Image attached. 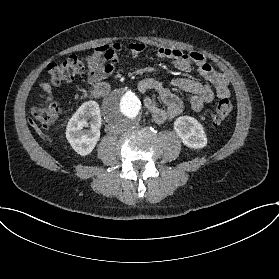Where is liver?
Here are the masks:
<instances>
[{
	"mask_svg": "<svg viewBox=\"0 0 279 279\" xmlns=\"http://www.w3.org/2000/svg\"><path fill=\"white\" fill-rule=\"evenodd\" d=\"M48 141H49V142H52V140H51L50 138H48Z\"/></svg>",
	"mask_w": 279,
	"mask_h": 279,
	"instance_id": "obj_1",
	"label": "liver"
}]
</instances>
